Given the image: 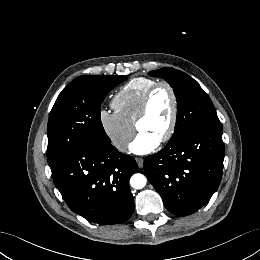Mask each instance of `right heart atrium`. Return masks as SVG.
Instances as JSON below:
<instances>
[{
  "label": "right heart atrium",
  "mask_w": 260,
  "mask_h": 260,
  "mask_svg": "<svg viewBox=\"0 0 260 260\" xmlns=\"http://www.w3.org/2000/svg\"><path fill=\"white\" fill-rule=\"evenodd\" d=\"M98 120L111 145L116 150L124 152L134 135V125L122 118L115 110L101 109Z\"/></svg>",
  "instance_id": "1"
}]
</instances>
